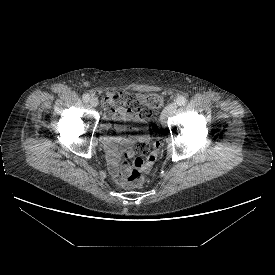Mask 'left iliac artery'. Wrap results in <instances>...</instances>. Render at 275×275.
Instances as JSON below:
<instances>
[{
	"label": "left iliac artery",
	"instance_id": "obj_1",
	"mask_svg": "<svg viewBox=\"0 0 275 275\" xmlns=\"http://www.w3.org/2000/svg\"><path fill=\"white\" fill-rule=\"evenodd\" d=\"M186 102H187V99L184 96H179L175 101V105L184 106Z\"/></svg>",
	"mask_w": 275,
	"mask_h": 275
}]
</instances>
